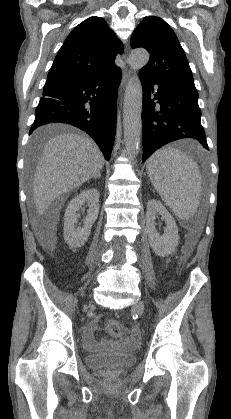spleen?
I'll use <instances>...</instances> for the list:
<instances>
[{"instance_id": "spleen-1", "label": "spleen", "mask_w": 231, "mask_h": 419, "mask_svg": "<svg viewBox=\"0 0 231 419\" xmlns=\"http://www.w3.org/2000/svg\"><path fill=\"white\" fill-rule=\"evenodd\" d=\"M148 176L164 203L182 220L197 211L202 178L197 164L184 152L165 147L147 162Z\"/></svg>"}]
</instances>
